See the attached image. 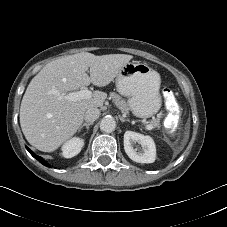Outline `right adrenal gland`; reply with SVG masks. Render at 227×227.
Here are the masks:
<instances>
[{
  "label": "right adrenal gland",
  "instance_id": "obj_1",
  "mask_svg": "<svg viewBox=\"0 0 227 227\" xmlns=\"http://www.w3.org/2000/svg\"><path fill=\"white\" fill-rule=\"evenodd\" d=\"M93 123H84L82 124L79 129H78V132H80L84 127H86L87 129V132L89 131V128H90V125H92Z\"/></svg>",
  "mask_w": 227,
  "mask_h": 227
}]
</instances>
